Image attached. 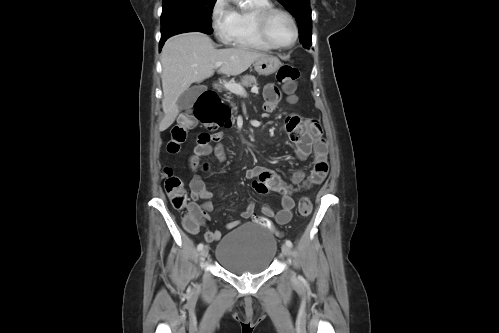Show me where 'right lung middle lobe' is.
Masks as SVG:
<instances>
[{
    "mask_svg": "<svg viewBox=\"0 0 499 333\" xmlns=\"http://www.w3.org/2000/svg\"><path fill=\"white\" fill-rule=\"evenodd\" d=\"M216 0H163L161 38L199 31L212 33L211 14Z\"/></svg>",
    "mask_w": 499,
    "mask_h": 333,
    "instance_id": "right-lung-middle-lobe-1",
    "label": "right lung middle lobe"
}]
</instances>
